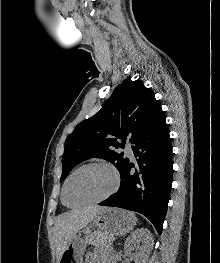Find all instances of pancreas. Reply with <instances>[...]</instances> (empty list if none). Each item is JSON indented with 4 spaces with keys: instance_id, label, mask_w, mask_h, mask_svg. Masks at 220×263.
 <instances>
[{
    "instance_id": "obj_1",
    "label": "pancreas",
    "mask_w": 220,
    "mask_h": 263,
    "mask_svg": "<svg viewBox=\"0 0 220 263\" xmlns=\"http://www.w3.org/2000/svg\"><path fill=\"white\" fill-rule=\"evenodd\" d=\"M101 235L100 232H94L93 234L89 235L87 238H86V241L95 245L96 247H101L99 243V236ZM101 244L103 245V243L101 242Z\"/></svg>"
}]
</instances>
